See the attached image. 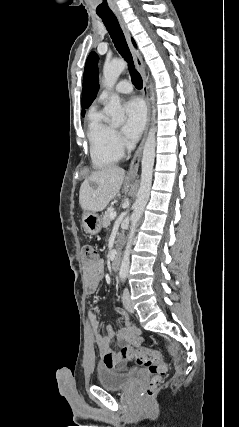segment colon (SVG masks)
Segmentation results:
<instances>
[{
    "instance_id": "5ec220e1",
    "label": "colon",
    "mask_w": 239,
    "mask_h": 427,
    "mask_svg": "<svg viewBox=\"0 0 239 427\" xmlns=\"http://www.w3.org/2000/svg\"><path fill=\"white\" fill-rule=\"evenodd\" d=\"M81 252L82 261L85 266H90L97 260L96 251L91 244H84L81 248ZM121 355L148 369L151 379L145 391V396H153L167 370L160 352L148 347H139L136 349L124 347L121 350Z\"/></svg>"
}]
</instances>
